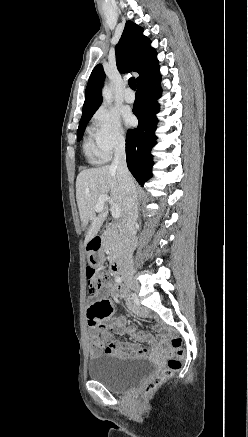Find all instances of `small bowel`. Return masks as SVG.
I'll use <instances>...</instances> for the list:
<instances>
[{
	"label": "small bowel",
	"mask_w": 248,
	"mask_h": 437,
	"mask_svg": "<svg viewBox=\"0 0 248 437\" xmlns=\"http://www.w3.org/2000/svg\"><path fill=\"white\" fill-rule=\"evenodd\" d=\"M114 292L119 298L129 303L128 292L120 284L116 286L111 284L104 285L99 294H88L87 300L89 305L86 307V312L88 325L91 329L90 356L94 358L103 353L118 357L144 356L154 351L156 346L148 334L137 331L123 318L110 320L113 306L111 298H108V294H113ZM135 313L139 316H145V313L141 310H135ZM113 333L117 335L128 334L136 341L147 342L150 345L149 347L141 348L135 344L124 343L115 339Z\"/></svg>",
	"instance_id": "obj_1"
}]
</instances>
